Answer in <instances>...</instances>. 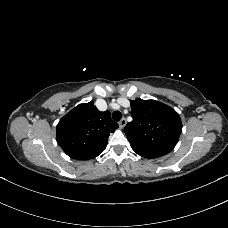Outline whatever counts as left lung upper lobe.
Segmentation results:
<instances>
[{"instance_id":"left-lung-upper-lobe-1","label":"left lung upper lobe","mask_w":228,"mask_h":228,"mask_svg":"<svg viewBox=\"0 0 228 228\" xmlns=\"http://www.w3.org/2000/svg\"><path fill=\"white\" fill-rule=\"evenodd\" d=\"M133 121L124 132L137 154L163 156L177 144L182 132L181 119L171 107L155 101H131Z\"/></svg>"}]
</instances>
